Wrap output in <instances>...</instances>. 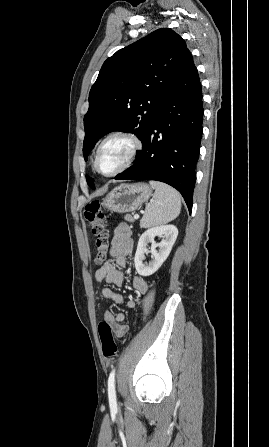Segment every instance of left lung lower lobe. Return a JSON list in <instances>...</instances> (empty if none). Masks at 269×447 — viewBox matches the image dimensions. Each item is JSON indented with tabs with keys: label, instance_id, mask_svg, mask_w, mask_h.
Instances as JSON below:
<instances>
[{
	"label": "left lung lower lobe",
	"instance_id": "0a47b994",
	"mask_svg": "<svg viewBox=\"0 0 269 447\" xmlns=\"http://www.w3.org/2000/svg\"><path fill=\"white\" fill-rule=\"evenodd\" d=\"M202 88L188 50L134 165L117 180H157L176 188L192 210L196 164L202 136Z\"/></svg>",
	"mask_w": 269,
	"mask_h": 447
}]
</instances>
